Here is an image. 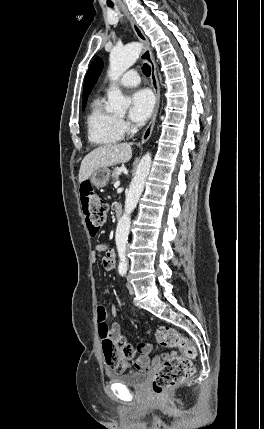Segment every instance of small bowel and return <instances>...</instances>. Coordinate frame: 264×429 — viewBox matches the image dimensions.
I'll list each match as a JSON object with an SVG mask.
<instances>
[{"label": "small bowel", "instance_id": "small-bowel-1", "mask_svg": "<svg viewBox=\"0 0 264 429\" xmlns=\"http://www.w3.org/2000/svg\"><path fill=\"white\" fill-rule=\"evenodd\" d=\"M98 252H105V255L102 258V265L105 270L111 271L115 266L114 251L109 249L104 244H97L93 250L94 258L96 257V254ZM101 309L104 310L106 314L105 308L103 306H99L97 309L98 318H99V312ZM111 314L114 318L118 316L119 310L116 306H112ZM98 322H99L98 333H99V337L102 340V347L104 342L107 339H111L115 341L122 337L120 326L118 323L113 322L112 324L109 325L106 322V318L103 322L99 321L98 319ZM137 349L140 355L137 358H135L133 362H130L128 360L123 361L120 365V372H126L132 368L142 371L149 367L150 365L149 354L152 351V345L148 343H141L138 345ZM167 356L168 354H163L160 358L155 359L154 362H158L160 359H164Z\"/></svg>", "mask_w": 264, "mask_h": 429}]
</instances>
